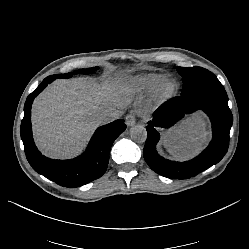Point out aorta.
I'll use <instances>...</instances> for the list:
<instances>
[{
  "label": "aorta",
  "instance_id": "aorta-1",
  "mask_svg": "<svg viewBox=\"0 0 249 249\" xmlns=\"http://www.w3.org/2000/svg\"><path fill=\"white\" fill-rule=\"evenodd\" d=\"M130 137L137 143H144L147 138V132L142 125H136L130 129Z\"/></svg>",
  "mask_w": 249,
  "mask_h": 249
}]
</instances>
